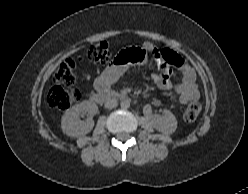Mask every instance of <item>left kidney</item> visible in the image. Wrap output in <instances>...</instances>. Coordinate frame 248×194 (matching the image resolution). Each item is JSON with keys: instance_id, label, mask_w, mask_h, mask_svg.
<instances>
[{"instance_id": "left-kidney-1", "label": "left kidney", "mask_w": 248, "mask_h": 194, "mask_svg": "<svg viewBox=\"0 0 248 194\" xmlns=\"http://www.w3.org/2000/svg\"><path fill=\"white\" fill-rule=\"evenodd\" d=\"M153 127L164 134H172L177 128V120L170 111L166 110L163 116L154 117Z\"/></svg>"}]
</instances>
